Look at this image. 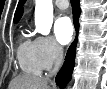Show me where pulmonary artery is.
<instances>
[{"mask_svg": "<svg viewBox=\"0 0 107 89\" xmlns=\"http://www.w3.org/2000/svg\"><path fill=\"white\" fill-rule=\"evenodd\" d=\"M55 5L59 8V9H66L68 7V1L67 0H56L55 1Z\"/></svg>", "mask_w": 107, "mask_h": 89, "instance_id": "1", "label": "pulmonary artery"}]
</instances>
